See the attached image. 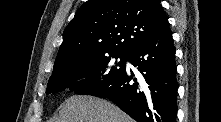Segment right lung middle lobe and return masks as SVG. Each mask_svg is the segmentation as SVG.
<instances>
[{
	"mask_svg": "<svg viewBox=\"0 0 221 122\" xmlns=\"http://www.w3.org/2000/svg\"><path fill=\"white\" fill-rule=\"evenodd\" d=\"M111 57L120 58L113 63ZM127 55L111 54L73 65L50 77L46 94L55 93L70 86L76 94H92L108 86L126 68ZM87 77L78 81L80 78Z\"/></svg>",
	"mask_w": 221,
	"mask_h": 122,
	"instance_id": "1",
	"label": "right lung middle lobe"
}]
</instances>
